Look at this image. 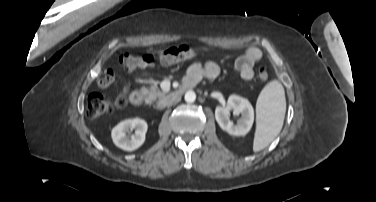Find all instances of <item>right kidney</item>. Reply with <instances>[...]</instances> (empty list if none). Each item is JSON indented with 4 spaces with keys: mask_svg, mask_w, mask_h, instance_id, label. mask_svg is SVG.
<instances>
[{
    "mask_svg": "<svg viewBox=\"0 0 376 202\" xmlns=\"http://www.w3.org/2000/svg\"><path fill=\"white\" fill-rule=\"evenodd\" d=\"M133 129L135 134L130 138L127 137L126 133ZM147 129V123L143 119H126L112 129L111 137L117 147L125 151H134L144 143Z\"/></svg>",
    "mask_w": 376,
    "mask_h": 202,
    "instance_id": "right-kidney-1",
    "label": "right kidney"
}]
</instances>
